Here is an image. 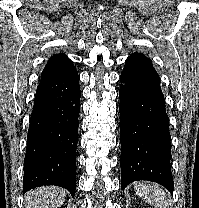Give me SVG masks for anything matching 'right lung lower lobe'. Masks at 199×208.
I'll return each mask as SVG.
<instances>
[{"mask_svg":"<svg viewBox=\"0 0 199 208\" xmlns=\"http://www.w3.org/2000/svg\"><path fill=\"white\" fill-rule=\"evenodd\" d=\"M80 95L78 74L37 87L24 159V193L57 185L74 196Z\"/></svg>","mask_w":199,"mask_h":208,"instance_id":"98d812e1","label":"right lung lower lobe"}]
</instances>
